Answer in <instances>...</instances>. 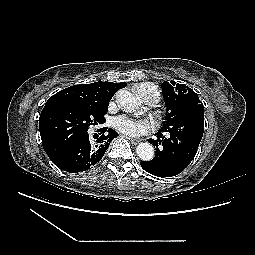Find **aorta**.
I'll use <instances>...</instances> for the list:
<instances>
[{
  "mask_svg": "<svg viewBox=\"0 0 255 255\" xmlns=\"http://www.w3.org/2000/svg\"><path fill=\"white\" fill-rule=\"evenodd\" d=\"M116 100L121 108L128 112L135 111L139 106L137 99L127 90H119L116 94ZM136 153L143 161H150L155 155L153 146L148 142L140 143L136 148Z\"/></svg>",
  "mask_w": 255,
  "mask_h": 255,
  "instance_id": "1",
  "label": "aorta"
}]
</instances>
